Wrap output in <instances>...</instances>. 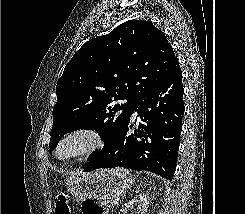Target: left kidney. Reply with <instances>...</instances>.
I'll list each match as a JSON object with an SVG mask.
<instances>
[{"instance_id": "1", "label": "left kidney", "mask_w": 245, "mask_h": 214, "mask_svg": "<svg viewBox=\"0 0 245 214\" xmlns=\"http://www.w3.org/2000/svg\"><path fill=\"white\" fill-rule=\"evenodd\" d=\"M134 205H138L135 214H147L148 200L146 195H138L126 204V208L132 210Z\"/></svg>"}]
</instances>
